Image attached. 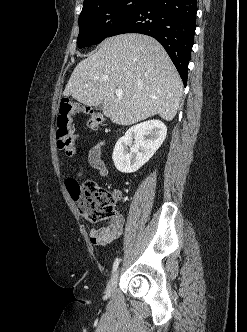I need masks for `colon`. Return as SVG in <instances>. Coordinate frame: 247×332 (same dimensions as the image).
Returning a JSON list of instances; mask_svg holds the SVG:
<instances>
[{"instance_id":"colon-1","label":"colon","mask_w":247,"mask_h":332,"mask_svg":"<svg viewBox=\"0 0 247 332\" xmlns=\"http://www.w3.org/2000/svg\"><path fill=\"white\" fill-rule=\"evenodd\" d=\"M76 112L85 115L89 130L98 129L103 122L102 114L94 109L76 106L69 100L62 101L56 121V139L59 150L67 155H73L76 150V135L72 125V116ZM66 187L87 220L99 222L114 217L113 195L98 182L88 180L80 183L69 178L66 180Z\"/></svg>"}]
</instances>
